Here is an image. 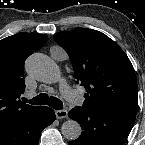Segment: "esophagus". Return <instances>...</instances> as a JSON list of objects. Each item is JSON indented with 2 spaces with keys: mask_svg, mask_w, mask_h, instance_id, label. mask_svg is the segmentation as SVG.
Instances as JSON below:
<instances>
[{
  "mask_svg": "<svg viewBox=\"0 0 145 145\" xmlns=\"http://www.w3.org/2000/svg\"><path fill=\"white\" fill-rule=\"evenodd\" d=\"M55 115L58 119H63L68 117V112L66 110H56Z\"/></svg>",
  "mask_w": 145,
  "mask_h": 145,
  "instance_id": "esophagus-1",
  "label": "esophagus"
}]
</instances>
